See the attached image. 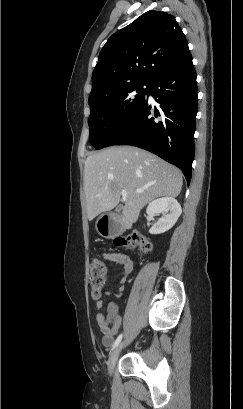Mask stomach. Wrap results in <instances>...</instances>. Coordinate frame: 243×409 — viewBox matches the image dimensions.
I'll list each match as a JSON object with an SVG mask.
<instances>
[{"mask_svg": "<svg viewBox=\"0 0 243 409\" xmlns=\"http://www.w3.org/2000/svg\"><path fill=\"white\" fill-rule=\"evenodd\" d=\"M102 220H103V216H101L100 218H98V220L96 221V224H95V228H96L97 232H98L101 236L106 237V238H109L110 236H112V232H111V230L108 228V226H105V225H104V222H103Z\"/></svg>", "mask_w": 243, "mask_h": 409, "instance_id": "stomach-1", "label": "stomach"}]
</instances>
